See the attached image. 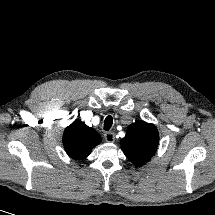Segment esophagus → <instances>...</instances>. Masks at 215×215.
I'll return each mask as SVG.
<instances>
[{"instance_id": "esophagus-1", "label": "esophagus", "mask_w": 215, "mask_h": 215, "mask_svg": "<svg viewBox=\"0 0 215 215\" xmlns=\"http://www.w3.org/2000/svg\"><path fill=\"white\" fill-rule=\"evenodd\" d=\"M104 138L107 142H114L115 141V134L113 132H106L104 134Z\"/></svg>"}]
</instances>
